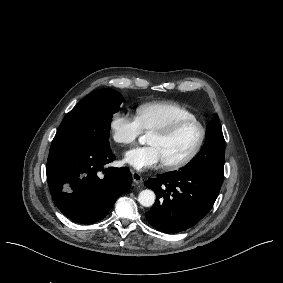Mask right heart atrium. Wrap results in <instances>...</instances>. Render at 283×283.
<instances>
[{
  "mask_svg": "<svg viewBox=\"0 0 283 283\" xmlns=\"http://www.w3.org/2000/svg\"><path fill=\"white\" fill-rule=\"evenodd\" d=\"M108 129L111 140L121 146L132 144L143 131L137 118L121 111L111 115Z\"/></svg>",
  "mask_w": 283,
  "mask_h": 283,
  "instance_id": "right-heart-atrium-1",
  "label": "right heart atrium"
}]
</instances>
